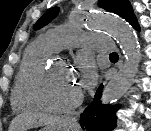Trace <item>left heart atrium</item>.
<instances>
[{
	"label": "left heart atrium",
	"mask_w": 151,
	"mask_h": 131,
	"mask_svg": "<svg viewBox=\"0 0 151 131\" xmlns=\"http://www.w3.org/2000/svg\"><path fill=\"white\" fill-rule=\"evenodd\" d=\"M74 77L80 88L90 87L96 79V70L92 60L85 55L80 56L75 64Z\"/></svg>",
	"instance_id": "left-heart-atrium-1"
}]
</instances>
